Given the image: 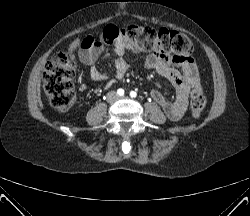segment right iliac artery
Instances as JSON below:
<instances>
[{"label":"right iliac artery","mask_w":250,"mask_h":216,"mask_svg":"<svg viewBox=\"0 0 250 216\" xmlns=\"http://www.w3.org/2000/svg\"><path fill=\"white\" fill-rule=\"evenodd\" d=\"M117 94L120 95V96H123L124 95V90L123 89H118L117 90Z\"/></svg>","instance_id":"right-iliac-artery-1"}]
</instances>
